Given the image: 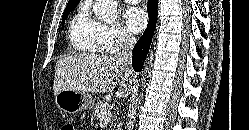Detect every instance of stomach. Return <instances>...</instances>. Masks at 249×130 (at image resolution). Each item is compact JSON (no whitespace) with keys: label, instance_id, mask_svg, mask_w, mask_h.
Wrapping results in <instances>:
<instances>
[{"label":"stomach","instance_id":"stomach-1","mask_svg":"<svg viewBox=\"0 0 249 130\" xmlns=\"http://www.w3.org/2000/svg\"><path fill=\"white\" fill-rule=\"evenodd\" d=\"M55 102L61 111L69 114L88 110L94 106V98L91 94L73 90L59 92L55 96Z\"/></svg>","mask_w":249,"mask_h":130}]
</instances>
